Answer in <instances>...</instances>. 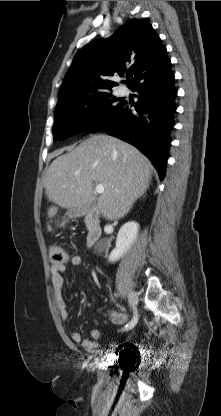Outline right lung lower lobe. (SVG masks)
Masks as SVG:
<instances>
[{
    "label": "right lung lower lobe",
    "instance_id": "1",
    "mask_svg": "<svg viewBox=\"0 0 221 416\" xmlns=\"http://www.w3.org/2000/svg\"><path fill=\"white\" fill-rule=\"evenodd\" d=\"M130 89L139 93V99L134 104L135 111L130 109L127 101L122 100L111 120L98 131L105 130L109 135L137 147L152 161L163 180L176 110L174 75L169 70L161 76H149Z\"/></svg>",
    "mask_w": 221,
    "mask_h": 416
}]
</instances>
